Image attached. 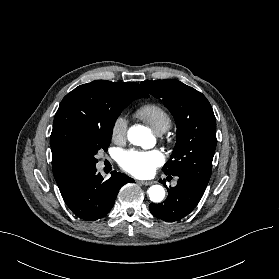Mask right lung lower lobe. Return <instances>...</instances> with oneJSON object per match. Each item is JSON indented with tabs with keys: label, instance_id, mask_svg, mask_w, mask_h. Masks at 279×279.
Here are the masks:
<instances>
[{
	"label": "right lung lower lobe",
	"instance_id": "right-lung-lower-lobe-1",
	"mask_svg": "<svg viewBox=\"0 0 279 279\" xmlns=\"http://www.w3.org/2000/svg\"><path fill=\"white\" fill-rule=\"evenodd\" d=\"M134 180L122 173L112 172L104 180L96 167L82 168L61 195L69 209L80 219L95 221L112 209L119 189Z\"/></svg>",
	"mask_w": 279,
	"mask_h": 279
}]
</instances>
